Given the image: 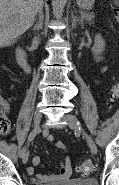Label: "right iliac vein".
Masks as SVG:
<instances>
[{"label": "right iliac vein", "mask_w": 119, "mask_h": 185, "mask_svg": "<svg viewBox=\"0 0 119 185\" xmlns=\"http://www.w3.org/2000/svg\"><path fill=\"white\" fill-rule=\"evenodd\" d=\"M41 118H42V114L40 113V111L36 110L34 113V123H33V132L35 133L39 131V125L41 122ZM28 158H29V153L25 151V153L22 156V161L24 164L27 163Z\"/></svg>", "instance_id": "63e3f726"}]
</instances>
